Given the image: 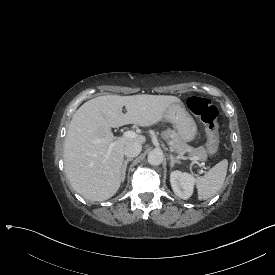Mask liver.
<instances>
[{
	"mask_svg": "<svg viewBox=\"0 0 275 275\" xmlns=\"http://www.w3.org/2000/svg\"><path fill=\"white\" fill-rule=\"evenodd\" d=\"M179 102L173 96L115 95L84 103L73 115L64 142V168L73 189L88 200L111 197L121 183L124 146L142 143L144 137H115L110 127L153 124L170 104Z\"/></svg>",
	"mask_w": 275,
	"mask_h": 275,
	"instance_id": "obj_1",
	"label": "liver"
}]
</instances>
